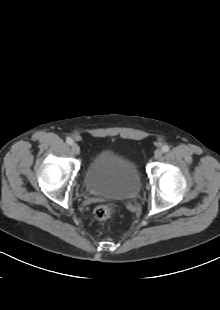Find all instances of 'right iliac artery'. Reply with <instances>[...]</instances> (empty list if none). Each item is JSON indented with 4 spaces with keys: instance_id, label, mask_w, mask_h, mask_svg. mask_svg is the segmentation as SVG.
<instances>
[{
    "instance_id": "right-iliac-artery-1",
    "label": "right iliac artery",
    "mask_w": 220,
    "mask_h": 310,
    "mask_svg": "<svg viewBox=\"0 0 220 310\" xmlns=\"http://www.w3.org/2000/svg\"><path fill=\"white\" fill-rule=\"evenodd\" d=\"M66 142H67V144H69V145H72V144L74 143L73 139L70 138V137H68V138L66 139Z\"/></svg>"
}]
</instances>
